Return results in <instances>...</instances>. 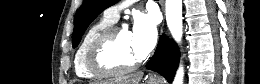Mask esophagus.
<instances>
[{"label": "esophagus", "mask_w": 260, "mask_h": 84, "mask_svg": "<svg viewBox=\"0 0 260 84\" xmlns=\"http://www.w3.org/2000/svg\"><path fill=\"white\" fill-rule=\"evenodd\" d=\"M160 4H161V6H162V9H164V0H160ZM149 78L150 79H157L158 78V75L156 74V73H151L150 75H149Z\"/></svg>", "instance_id": "34e87169"}]
</instances>
